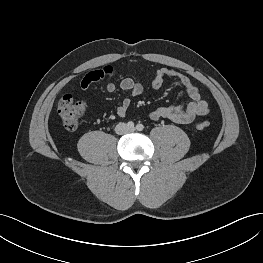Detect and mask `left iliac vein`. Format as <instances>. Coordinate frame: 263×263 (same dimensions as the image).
<instances>
[{
	"mask_svg": "<svg viewBox=\"0 0 263 263\" xmlns=\"http://www.w3.org/2000/svg\"><path fill=\"white\" fill-rule=\"evenodd\" d=\"M130 130H131V131H134V128H131Z\"/></svg>",
	"mask_w": 263,
	"mask_h": 263,
	"instance_id": "4c4485c4",
	"label": "left iliac vein"
}]
</instances>
